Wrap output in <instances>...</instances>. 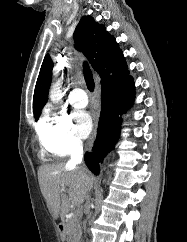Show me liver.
<instances>
[{
	"instance_id": "liver-1",
	"label": "liver",
	"mask_w": 187,
	"mask_h": 242,
	"mask_svg": "<svg viewBox=\"0 0 187 242\" xmlns=\"http://www.w3.org/2000/svg\"><path fill=\"white\" fill-rule=\"evenodd\" d=\"M41 192L54 219L64 218L72 207L88 198L94 178L80 167L62 162L42 165L38 170ZM66 191L68 195L63 194Z\"/></svg>"
}]
</instances>
